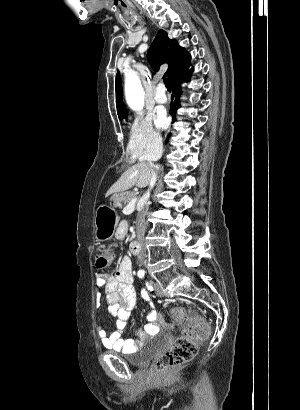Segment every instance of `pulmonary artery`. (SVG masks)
<instances>
[{
    "label": "pulmonary artery",
    "mask_w": 300,
    "mask_h": 410,
    "mask_svg": "<svg viewBox=\"0 0 300 410\" xmlns=\"http://www.w3.org/2000/svg\"><path fill=\"white\" fill-rule=\"evenodd\" d=\"M155 100L161 104L166 103L168 100L165 86L162 83L158 84L156 87Z\"/></svg>",
    "instance_id": "pulmonary-artery-1"
}]
</instances>
